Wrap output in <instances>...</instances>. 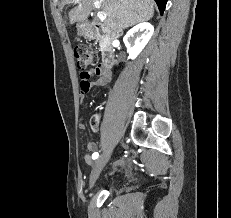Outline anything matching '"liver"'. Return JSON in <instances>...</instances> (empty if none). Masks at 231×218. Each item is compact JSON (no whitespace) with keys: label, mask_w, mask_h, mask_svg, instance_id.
<instances>
[{"label":"liver","mask_w":231,"mask_h":218,"mask_svg":"<svg viewBox=\"0 0 231 218\" xmlns=\"http://www.w3.org/2000/svg\"><path fill=\"white\" fill-rule=\"evenodd\" d=\"M96 0H63V5H76L68 13L70 24L85 21ZM101 13L106 15L103 27L112 35H119L124 29L150 20L154 15L153 0H97Z\"/></svg>","instance_id":"1"}]
</instances>
